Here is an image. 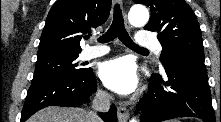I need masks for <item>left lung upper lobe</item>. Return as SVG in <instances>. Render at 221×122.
Returning a JSON list of instances; mask_svg holds the SVG:
<instances>
[{"instance_id": "1", "label": "left lung upper lobe", "mask_w": 221, "mask_h": 122, "mask_svg": "<svg viewBox=\"0 0 221 122\" xmlns=\"http://www.w3.org/2000/svg\"><path fill=\"white\" fill-rule=\"evenodd\" d=\"M150 7L151 17L145 30L158 32L163 47L160 61L188 59L204 63L200 26L184 0H133Z\"/></svg>"}]
</instances>
